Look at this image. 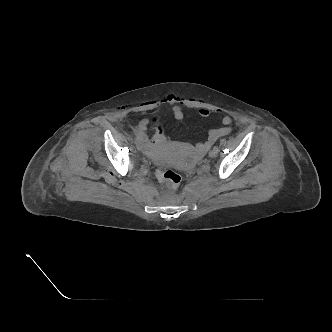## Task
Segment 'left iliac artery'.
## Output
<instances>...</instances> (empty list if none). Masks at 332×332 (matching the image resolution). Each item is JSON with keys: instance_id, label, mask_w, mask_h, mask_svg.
<instances>
[{"instance_id": "1", "label": "left iliac artery", "mask_w": 332, "mask_h": 332, "mask_svg": "<svg viewBox=\"0 0 332 332\" xmlns=\"http://www.w3.org/2000/svg\"><path fill=\"white\" fill-rule=\"evenodd\" d=\"M213 150L218 153V151H219L218 146H214Z\"/></svg>"}]
</instances>
